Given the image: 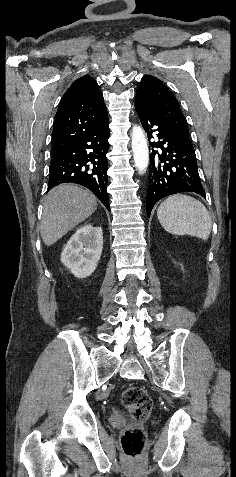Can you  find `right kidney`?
Segmentation results:
<instances>
[{
	"label": "right kidney",
	"mask_w": 236,
	"mask_h": 477,
	"mask_svg": "<svg viewBox=\"0 0 236 477\" xmlns=\"http://www.w3.org/2000/svg\"><path fill=\"white\" fill-rule=\"evenodd\" d=\"M102 249V228L85 224L67 242L61 254V262L75 277L85 278L96 269Z\"/></svg>",
	"instance_id": "ca27d5eb"
}]
</instances>
